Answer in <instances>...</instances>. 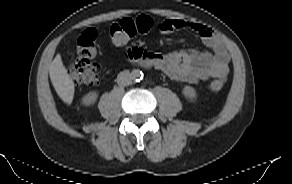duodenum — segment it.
Segmentation results:
<instances>
[{
  "label": "duodenum",
  "instance_id": "obj_1",
  "mask_svg": "<svg viewBox=\"0 0 292 184\" xmlns=\"http://www.w3.org/2000/svg\"><path fill=\"white\" fill-rule=\"evenodd\" d=\"M133 57L134 60H136V63L138 64L139 67L141 68H146L151 66L154 63V59L152 57V55H144L143 52L142 53H136L133 52L131 55V58Z\"/></svg>",
  "mask_w": 292,
  "mask_h": 184
}]
</instances>
